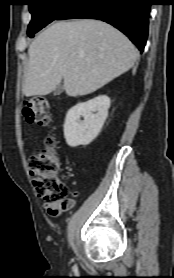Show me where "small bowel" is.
Instances as JSON below:
<instances>
[{
  "mask_svg": "<svg viewBox=\"0 0 174 278\" xmlns=\"http://www.w3.org/2000/svg\"><path fill=\"white\" fill-rule=\"evenodd\" d=\"M74 205H75V200L73 198H70L64 204H47V203H45V208L51 216H58L62 212L67 211V210L71 209L72 207H74Z\"/></svg>",
  "mask_w": 174,
  "mask_h": 278,
  "instance_id": "obj_1",
  "label": "small bowel"
}]
</instances>
